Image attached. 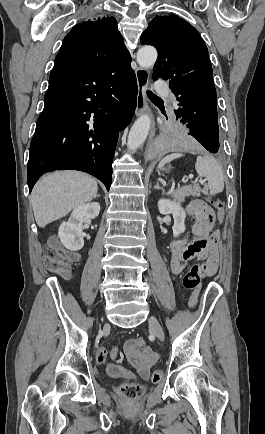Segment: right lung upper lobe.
<instances>
[{
	"label": "right lung upper lobe",
	"mask_w": 265,
	"mask_h": 434,
	"mask_svg": "<svg viewBox=\"0 0 265 434\" xmlns=\"http://www.w3.org/2000/svg\"><path fill=\"white\" fill-rule=\"evenodd\" d=\"M131 59L114 17L91 18L66 35L54 67H99L114 60Z\"/></svg>",
	"instance_id": "1"
}]
</instances>
